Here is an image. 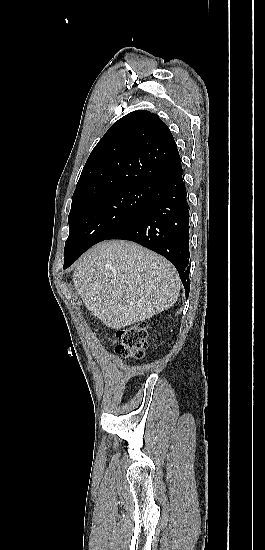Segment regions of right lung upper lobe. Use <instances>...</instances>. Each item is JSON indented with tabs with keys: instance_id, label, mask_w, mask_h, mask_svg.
<instances>
[{
	"instance_id": "cb5924a9",
	"label": "right lung upper lobe",
	"mask_w": 265,
	"mask_h": 550,
	"mask_svg": "<svg viewBox=\"0 0 265 550\" xmlns=\"http://www.w3.org/2000/svg\"><path fill=\"white\" fill-rule=\"evenodd\" d=\"M179 152L163 121L148 111L119 119L92 150L72 203L137 185H156L177 163Z\"/></svg>"
}]
</instances>
